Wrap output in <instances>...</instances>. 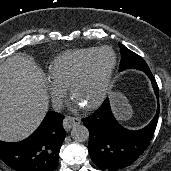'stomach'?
Segmentation results:
<instances>
[{
  "instance_id": "1",
  "label": "stomach",
  "mask_w": 171,
  "mask_h": 171,
  "mask_svg": "<svg viewBox=\"0 0 171 171\" xmlns=\"http://www.w3.org/2000/svg\"><path fill=\"white\" fill-rule=\"evenodd\" d=\"M110 97L116 117L119 120L129 119L133 112L125 96L119 92H113L111 93Z\"/></svg>"
}]
</instances>
